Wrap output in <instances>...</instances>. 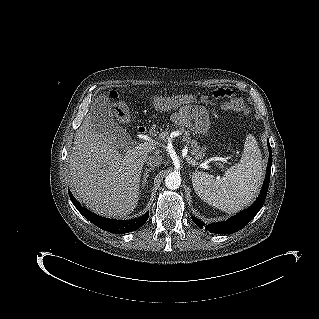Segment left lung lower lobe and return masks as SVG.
<instances>
[{"label": "left lung lower lobe", "mask_w": 319, "mask_h": 319, "mask_svg": "<svg viewBox=\"0 0 319 319\" xmlns=\"http://www.w3.org/2000/svg\"><path fill=\"white\" fill-rule=\"evenodd\" d=\"M268 147H269V160H268V165H267V171H266V177L264 180L263 187L261 189L260 195L254 202V204L249 207L248 209L238 213L237 215L229 218L227 221L224 222H219V223H213V224H208L205 226V224L198 220L195 217H192L193 222L200 227L201 229L205 227V230H208L211 233H216V234H230L239 231L242 229L244 226H246L254 217L255 215L259 212V210L262 208L268 187H269V181H270V170H271V164H272V152H271V147L268 142Z\"/></svg>", "instance_id": "left-lung-lower-lobe-1"}]
</instances>
